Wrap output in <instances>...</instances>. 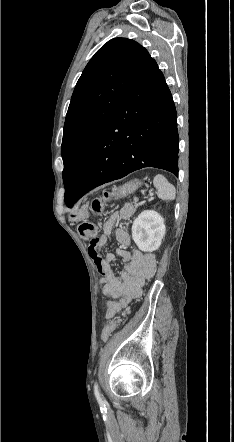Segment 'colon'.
Listing matches in <instances>:
<instances>
[{
  "mask_svg": "<svg viewBox=\"0 0 234 442\" xmlns=\"http://www.w3.org/2000/svg\"><path fill=\"white\" fill-rule=\"evenodd\" d=\"M108 196H109L108 193H104V198H108ZM102 207H103V199L96 198L92 203L93 212L95 214L101 213ZM79 233L83 238L89 240L92 243V245L96 244L99 240L97 228L93 223H90V222L82 223L79 226ZM121 321H122L121 319H115V320L111 321L110 323H108L103 328L102 333H101L102 341H106L112 335V333L115 331L117 326L121 323Z\"/></svg>",
  "mask_w": 234,
  "mask_h": 442,
  "instance_id": "5ec220e1",
  "label": "colon"
}]
</instances>
